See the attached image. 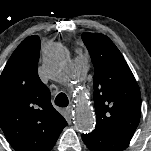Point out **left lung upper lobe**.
Wrapping results in <instances>:
<instances>
[{"instance_id":"obj_1","label":"left lung upper lobe","mask_w":151,"mask_h":151,"mask_svg":"<svg viewBox=\"0 0 151 151\" xmlns=\"http://www.w3.org/2000/svg\"><path fill=\"white\" fill-rule=\"evenodd\" d=\"M94 65L95 130L132 137L140 121L138 84L115 44L100 33L82 34Z\"/></svg>"}]
</instances>
